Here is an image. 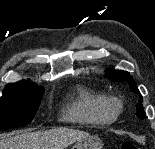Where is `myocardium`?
Here are the masks:
<instances>
[{
    "label": "myocardium",
    "mask_w": 155,
    "mask_h": 149,
    "mask_svg": "<svg viewBox=\"0 0 155 149\" xmlns=\"http://www.w3.org/2000/svg\"><path fill=\"white\" fill-rule=\"evenodd\" d=\"M123 101L117 96H108L104 100L105 110L117 118L123 110Z\"/></svg>",
    "instance_id": "f54148a6"
}]
</instances>
